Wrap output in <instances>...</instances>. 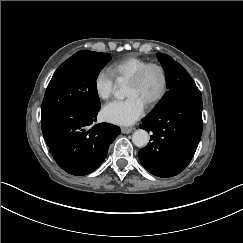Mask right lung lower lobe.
Listing matches in <instances>:
<instances>
[{
  "label": "right lung lower lobe",
  "mask_w": 243,
  "mask_h": 243,
  "mask_svg": "<svg viewBox=\"0 0 243 243\" xmlns=\"http://www.w3.org/2000/svg\"><path fill=\"white\" fill-rule=\"evenodd\" d=\"M99 110L65 107L41 117V129L50 153L69 174L81 176L96 170L120 133L118 126L108 123L85 130L96 121Z\"/></svg>",
  "instance_id": "right-lung-lower-lobe-1"
}]
</instances>
